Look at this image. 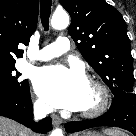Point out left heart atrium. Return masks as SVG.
Returning <instances> with one entry per match:
<instances>
[{
  "label": "left heart atrium",
  "mask_w": 136,
  "mask_h": 136,
  "mask_svg": "<svg viewBox=\"0 0 136 136\" xmlns=\"http://www.w3.org/2000/svg\"><path fill=\"white\" fill-rule=\"evenodd\" d=\"M34 87L37 94L54 107L81 110L88 81L78 68L53 65L38 70L34 78Z\"/></svg>",
  "instance_id": "left-heart-atrium-1"
}]
</instances>
